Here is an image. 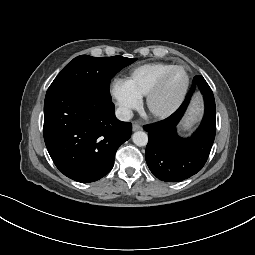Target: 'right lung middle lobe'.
I'll return each instance as SVG.
<instances>
[{
  "instance_id": "1",
  "label": "right lung middle lobe",
  "mask_w": 255,
  "mask_h": 255,
  "mask_svg": "<svg viewBox=\"0 0 255 255\" xmlns=\"http://www.w3.org/2000/svg\"><path fill=\"white\" fill-rule=\"evenodd\" d=\"M136 60V58L130 59L122 56L92 57L80 55L63 68L48 90L82 88L92 90L104 98L112 100L109 91L111 79L122 68Z\"/></svg>"
}]
</instances>
